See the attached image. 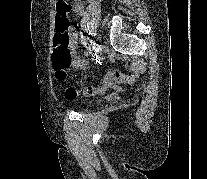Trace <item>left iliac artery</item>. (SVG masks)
<instances>
[{"instance_id": "44dca946", "label": "left iliac artery", "mask_w": 207, "mask_h": 179, "mask_svg": "<svg viewBox=\"0 0 207 179\" xmlns=\"http://www.w3.org/2000/svg\"><path fill=\"white\" fill-rule=\"evenodd\" d=\"M91 48H92V50H91V52H90V55H91V57H94L96 51L99 50L98 37H95V38L93 39V44L91 45Z\"/></svg>"}]
</instances>
